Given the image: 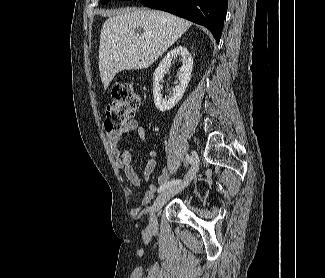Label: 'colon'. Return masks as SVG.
<instances>
[{
  "mask_svg": "<svg viewBox=\"0 0 325 278\" xmlns=\"http://www.w3.org/2000/svg\"><path fill=\"white\" fill-rule=\"evenodd\" d=\"M142 105L141 97L131 86L121 85L113 89L112 100L105 107L104 128L112 132L129 122Z\"/></svg>",
  "mask_w": 325,
  "mask_h": 278,
  "instance_id": "obj_1",
  "label": "colon"
}]
</instances>
